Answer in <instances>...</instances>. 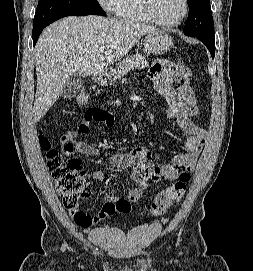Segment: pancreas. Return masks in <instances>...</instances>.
Wrapping results in <instances>:
<instances>
[{"label":"pancreas","instance_id":"obj_1","mask_svg":"<svg viewBox=\"0 0 253 271\" xmlns=\"http://www.w3.org/2000/svg\"><path fill=\"white\" fill-rule=\"evenodd\" d=\"M145 67H148V62L146 61L145 56L138 53L130 55L118 63L115 73L116 79H120L124 75H127L131 69H142Z\"/></svg>","mask_w":253,"mask_h":271}]
</instances>
